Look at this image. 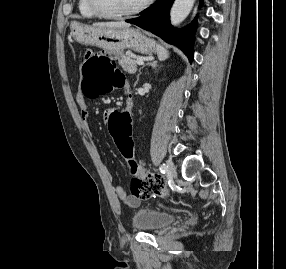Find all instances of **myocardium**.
<instances>
[{
	"label": "myocardium",
	"mask_w": 286,
	"mask_h": 269,
	"mask_svg": "<svg viewBox=\"0 0 286 269\" xmlns=\"http://www.w3.org/2000/svg\"><path fill=\"white\" fill-rule=\"evenodd\" d=\"M88 2H89V6L91 10L98 17L105 18V19H125V18L133 17V16H136L142 13L144 10H146L151 5L153 0H145L143 3H141L138 7H136L133 10L123 12V13H117V14L108 13L102 10L98 5L97 0H88Z\"/></svg>",
	"instance_id": "1"
}]
</instances>
